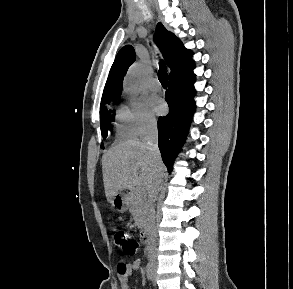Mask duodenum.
<instances>
[{
	"label": "duodenum",
	"instance_id": "410a0bca",
	"mask_svg": "<svg viewBox=\"0 0 293 289\" xmlns=\"http://www.w3.org/2000/svg\"><path fill=\"white\" fill-rule=\"evenodd\" d=\"M149 236H150V229L148 226L143 227L141 231V240L143 244H147L149 242Z\"/></svg>",
	"mask_w": 293,
	"mask_h": 289
}]
</instances>
